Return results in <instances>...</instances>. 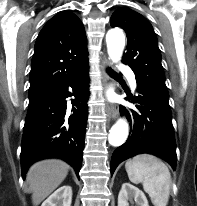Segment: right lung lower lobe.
Wrapping results in <instances>:
<instances>
[{
	"mask_svg": "<svg viewBox=\"0 0 197 206\" xmlns=\"http://www.w3.org/2000/svg\"><path fill=\"white\" fill-rule=\"evenodd\" d=\"M88 69L87 64L42 99L29 104L21 143L23 177L32 163L60 158L74 167L79 178L90 94ZM70 96L75 97L71 100L72 113L66 111L65 99Z\"/></svg>",
	"mask_w": 197,
	"mask_h": 206,
	"instance_id": "right-lung-lower-lobe-1",
	"label": "right lung lower lobe"
}]
</instances>
